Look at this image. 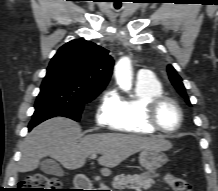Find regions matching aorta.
Instances as JSON below:
<instances>
[{"instance_id": "762f6f07", "label": "aorta", "mask_w": 218, "mask_h": 191, "mask_svg": "<svg viewBox=\"0 0 218 191\" xmlns=\"http://www.w3.org/2000/svg\"><path fill=\"white\" fill-rule=\"evenodd\" d=\"M117 84L124 91H129L132 87V67L131 61L127 57L121 58L114 69Z\"/></svg>"}]
</instances>
